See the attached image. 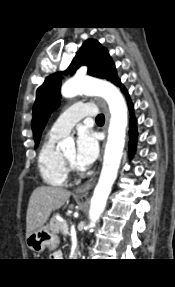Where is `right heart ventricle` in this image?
<instances>
[{"label":"right heart ventricle","instance_id":"e07e8e85","mask_svg":"<svg viewBox=\"0 0 175 287\" xmlns=\"http://www.w3.org/2000/svg\"><path fill=\"white\" fill-rule=\"evenodd\" d=\"M61 137L51 133L45 138L38 153V169L43 181L51 186H65L69 171L56 143Z\"/></svg>","mask_w":175,"mask_h":287}]
</instances>
